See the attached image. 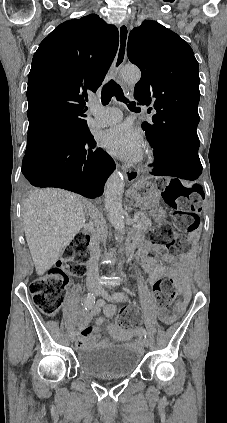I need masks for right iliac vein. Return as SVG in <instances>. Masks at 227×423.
<instances>
[{"instance_id": "1", "label": "right iliac vein", "mask_w": 227, "mask_h": 423, "mask_svg": "<svg viewBox=\"0 0 227 423\" xmlns=\"http://www.w3.org/2000/svg\"><path fill=\"white\" fill-rule=\"evenodd\" d=\"M88 289H89V291H90L91 293H93V294H95V295H99V290H98V289L93 288V287H88ZM70 340H71V342H74V341H75V335H74V334H72V335L70 336Z\"/></svg>"}]
</instances>
